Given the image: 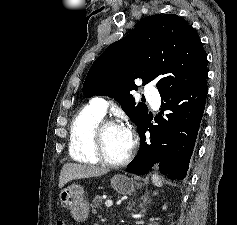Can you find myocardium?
<instances>
[{
	"label": "myocardium",
	"instance_id": "f54148a6",
	"mask_svg": "<svg viewBox=\"0 0 237 225\" xmlns=\"http://www.w3.org/2000/svg\"><path fill=\"white\" fill-rule=\"evenodd\" d=\"M109 127H123V125L114 119H104V118L95 125L92 131V140L95 155L97 156L99 162L109 167L117 168L125 166L132 159L135 144L132 143L131 149L124 159L120 161L110 160L106 156L103 142L104 133Z\"/></svg>",
	"mask_w": 237,
	"mask_h": 225
}]
</instances>
